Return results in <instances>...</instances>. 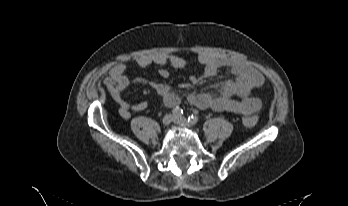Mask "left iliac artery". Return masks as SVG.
Listing matches in <instances>:
<instances>
[{"instance_id":"obj_1","label":"left iliac artery","mask_w":348,"mask_h":206,"mask_svg":"<svg viewBox=\"0 0 348 206\" xmlns=\"http://www.w3.org/2000/svg\"><path fill=\"white\" fill-rule=\"evenodd\" d=\"M188 122L192 125L196 124L198 122V116L192 114L188 117Z\"/></svg>"}]
</instances>
